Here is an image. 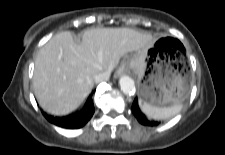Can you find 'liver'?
<instances>
[{"mask_svg":"<svg viewBox=\"0 0 225 155\" xmlns=\"http://www.w3.org/2000/svg\"><path fill=\"white\" fill-rule=\"evenodd\" d=\"M155 38L131 28H93L77 44L70 32L53 36L38 52L33 90L40 106L53 115H67L81 107L94 77L112 71L129 52L145 55Z\"/></svg>","mask_w":225,"mask_h":155,"instance_id":"6515ba94","label":"liver"}]
</instances>
